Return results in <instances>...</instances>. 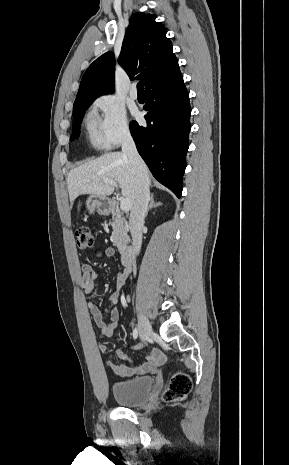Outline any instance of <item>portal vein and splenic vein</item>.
<instances>
[{
	"label": "portal vein and splenic vein",
	"mask_w": 289,
	"mask_h": 465,
	"mask_svg": "<svg viewBox=\"0 0 289 465\" xmlns=\"http://www.w3.org/2000/svg\"><path fill=\"white\" fill-rule=\"evenodd\" d=\"M104 183L110 184L117 188V184L112 180L105 179L103 180ZM120 209L124 212H127L131 209V202L129 199H122L120 202Z\"/></svg>",
	"instance_id": "18ae733b"
}]
</instances>
